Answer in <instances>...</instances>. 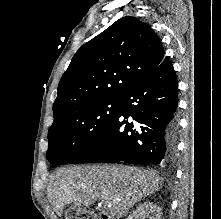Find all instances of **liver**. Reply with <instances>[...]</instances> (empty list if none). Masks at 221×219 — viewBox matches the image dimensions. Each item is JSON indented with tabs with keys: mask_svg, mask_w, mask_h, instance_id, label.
I'll use <instances>...</instances> for the list:
<instances>
[{
	"mask_svg": "<svg viewBox=\"0 0 221 219\" xmlns=\"http://www.w3.org/2000/svg\"><path fill=\"white\" fill-rule=\"evenodd\" d=\"M162 182L156 173L136 167L70 166L55 171L47 196L58 216L68 204L89 207L101 199L111 217L120 219L137 202L157 191Z\"/></svg>",
	"mask_w": 221,
	"mask_h": 219,
	"instance_id": "liver-1",
	"label": "liver"
}]
</instances>
